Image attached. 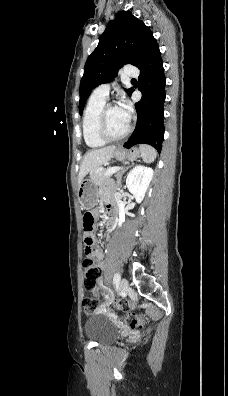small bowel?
I'll list each match as a JSON object with an SVG mask.
<instances>
[{"instance_id":"1","label":"small bowel","mask_w":228,"mask_h":396,"mask_svg":"<svg viewBox=\"0 0 228 396\" xmlns=\"http://www.w3.org/2000/svg\"><path fill=\"white\" fill-rule=\"evenodd\" d=\"M105 202H106L107 210H108V218L112 219L113 215H114V209H113L112 203L107 197H105ZM92 253H93V256L96 259V261L101 266L102 265V260L104 258V254H103L102 250L97 248V247H93L92 248ZM97 283H98L99 286L102 285V283H103L102 278H99L97 280ZM92 292H93V294L97 295L99 293V289L98 288H94V289H92ZM110 303H111V300H107L106 302H104L103 305L101 306L100 310L101 311H106L108 309Z\"/></svg>"}]
</instances>
